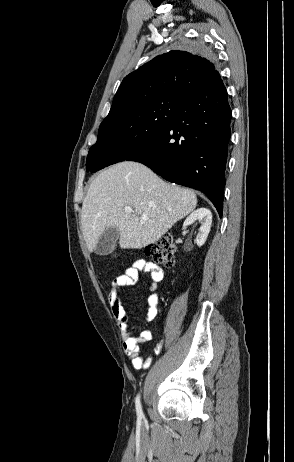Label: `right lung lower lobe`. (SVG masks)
<instances>
[{"label":"right lung lower lobe","mask_w":294,"mask_h":462,"mask_svg":"<svg viewBox=\"0 0 294 462\" xmlns=\"http://www.w3.org/2000/svg\"><path fill=\"white\" fill-rule=\"evenodd\" d=\"M231 109L220 78L185 97L168 125L126 160L140 162L169 182L205 193L222 216ZM97 155L88 156L86 170L103 168Z\"/></svg>","instance_id":"obj_1"}]
</instances>
